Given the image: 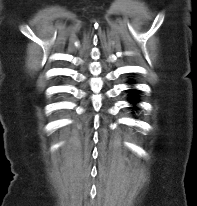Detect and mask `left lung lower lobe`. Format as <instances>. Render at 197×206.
Segmentation results:
<instances>
[{
	"label": "left lung lower lobe",
	"instance_id": "1",
	"mask_svg": "<svg viewBox=\"0 0 197 206\" xmlns=\"http://www.w3.org/2000/svg\"><path fill=\"white\" fill-rule=\"evenodd\" d=\"M130 84H132V82H130ZM128 92L130 93V97H129V101L131 104H136L138 102V91L135 89H130L128 90ZM133 109H135V107H133Z\"/></svg>",
	"mask_w": 197,
	"mask_h": 206
}]
</instances>
